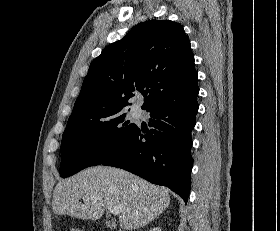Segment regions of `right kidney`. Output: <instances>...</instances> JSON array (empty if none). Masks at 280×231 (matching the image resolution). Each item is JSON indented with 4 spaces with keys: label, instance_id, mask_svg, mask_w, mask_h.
Segmentation results:
<instances>
[{
    "label": "right kidney",
    "instance_id": "1",
    "mask_svg": "<svg viewBox=\"0 0 280 231\" xmlns=\"http://www.w3.org/2000/svg\"><path fill=\"white\" fill-rule=\"evenodd\" d=\"M149 231H161V227H153V229H149Z\"/></svg>",
    "mask_w": 280,
    "mask_h": 231
}]
</instances>
